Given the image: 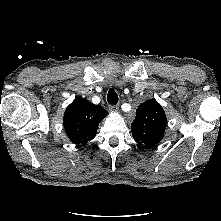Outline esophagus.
Here are the masks:
<instances>
[{
    "instance_id": "esophagus-1",
    "label": "esophagus",
    "mask_w": 221,
    "mask_h": 221,
    "mask_svg": "<svg viewBox=\"0 0 221 221\" xmlns=\"http://www.w3.org/2000/svg\"><path fill=\"white\" fill-rule=\"evenodd\" d=\"M109 110H110L111 112H118V111H119V107H118L117 105H111V106L109 107Z\"/></svg>"
}]
</instances>
